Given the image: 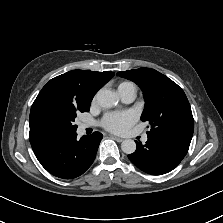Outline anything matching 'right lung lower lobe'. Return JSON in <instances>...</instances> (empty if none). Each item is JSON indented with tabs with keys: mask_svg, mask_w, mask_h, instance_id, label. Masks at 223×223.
Here are the masks:
<instances>
[{
	"mask_svg": "<svg viewBox=\"0 0 223 223\" xmlns=\"http://www.w3.org/2000/svg\"><path fill=\"white\" fill-rule=\"evenodd\" d=\"M77 133L34 150L41 165L52 175L72 179L93 163L103 135L99 132L77 140Z\"/></svg>",
	"mask_w": 223,
	"mask_h": 223,
	"instance_id": "1",
	"label": "right lung lower lobe"
}]
</instances>
